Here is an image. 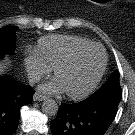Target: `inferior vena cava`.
Listing matches in <instances>:
<instances>
[{"label": "inferior vena cava", "mask_w": 135, "mask_h": 135, "mask_svg": "<svg viewBox=\"0 0 135 135\" xmlns=\"http://www.w3.org/2000/svg\"><path fill=\"white\" fill-rule=\"evenodd\" d=\"M40 79H41V76L35 72L30 73L28 76V80L30 84L37 83L38 81H40Z\"/></svg>", "instance_id": "602c4592"}]
</instances>
